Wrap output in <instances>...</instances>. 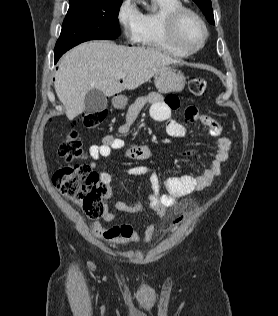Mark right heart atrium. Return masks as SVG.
Returning <instances> with one entry per match:
<instances>
[{"mask_svg": "<svg viewBox=\"0 0 278 316\" xmlns=\"http://www.w3.org/2000/svg\"><path fill=\"white\" fill-rule=\"evenodd\" d=\"M116 19L125 39L129 42H137L141 28L142 13L135 0H121L117 9Z\"/></svg>", "mask_w": 278, "mask_h": 316, "instance_id": "right-heart-atrium-1", "label": "right heart atrium"}]
</instances>
